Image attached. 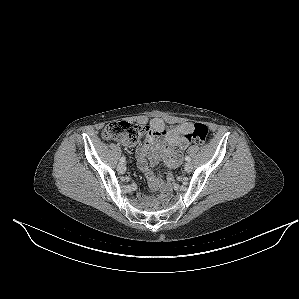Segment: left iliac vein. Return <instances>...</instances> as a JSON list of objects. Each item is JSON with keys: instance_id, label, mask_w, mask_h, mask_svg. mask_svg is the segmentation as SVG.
<instances>
[{"instance_id": "1", "label": "left iliac vein", "mask_w": 299, "mask_h": 299, "mask_svg": "<svg viewBox=\"0 0 299 299\" xmlns=\"http://www.w3.org/2000/svg\"><path fill=\"white\" fill-rule=\"evenodd\" d=\"M192 164L190 163V162H187L186 164H185V166H184V170L186 171V172H191L192 171Z\"/></svg>"}]
</instances>
